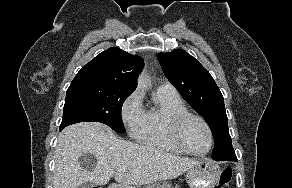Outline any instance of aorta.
Masks as SVG:
<instances>
[{"label":"aorta","instance_id":"762f6f07","mask_svg":"<svg viewBox=\"0 0 292 188\" xmlns=\"http://www.w3.org/2000/svg\"><path fill=\"white\" fill-rule=\"evenodd\" d=\"M148 85V80L145 78L143 74H141L138 78V86L146 87Z\"/></svg>","mask_w":292,"mask_h":188}]
</instances>
